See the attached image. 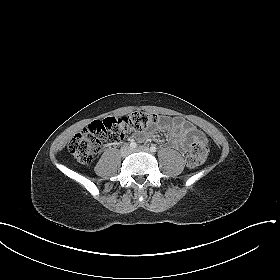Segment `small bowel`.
I'll list each match as a JSON object with an SVG mask.
<instances>
[{
	"mask_svg": "<svg viewBox=\"0 0 280 280\" xmlns=\"http://www.w3.org/2000/svg\"><path fill=\"white\" fill-rule=\"evenodd\" d=\"M160 128H169L171 127L174 135V143L179 146L183 151H186L189 147V144L196 139L205 140V136L195 129L193 125L189 122L175 117L172 120L164 119L159 126Z\"/></svg>",
	"mask_w": 280,
	"mask_h": 280,
	"instance_id": "c3829d8e",
	"label": "small bowel"
}]
</instances>
